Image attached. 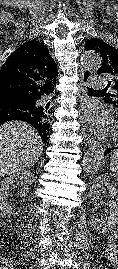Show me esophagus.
Returning a JSON list of instances; mask_svg holds the SVG:
<instances>
[{
	"mask_svg": "<svg viewBox=\"0 0 118 269\" xmlns=\"http://www.w3.org/2000/svg\"><path fill=\"white\" fill-rule=\"evenodd\" d=\"M92 77V72L90 70L82 69L81 70V82H80V101L85 100L87 95V85ZM81 133L84 138V142L87 145L94 143V138L88 134L87 128L85 125L81 128Z\"/></svg>",
	"mask_w": 118,
	"mask_h": 269,
	"instance_id": "34e87169",
	"label": "esophagus"
}]
</instances>
